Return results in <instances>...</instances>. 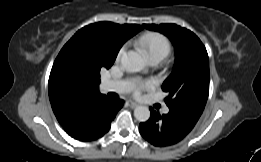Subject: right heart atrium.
Listing matches in <instances>:
<instances>
[{
	"label": "right heart atrium",
	"mask_w": 261,
	"mask_h": 162,
	"mask_svg": "<svg viewBox=\"0 0 261 162\" xmlns=\"http://www.w3.org/2000/svg\"><path fill=\"white\" fill-rule=\"evenodd\" d=\"M125 46H123L120 50H119V52H118V55H117V58L118 59H120L122 56H123V54H124V52H125Z\"/></svg>",
	"instance_id": "d8ad5b80"
}]
</instances>
